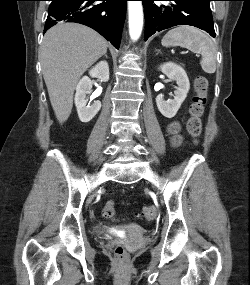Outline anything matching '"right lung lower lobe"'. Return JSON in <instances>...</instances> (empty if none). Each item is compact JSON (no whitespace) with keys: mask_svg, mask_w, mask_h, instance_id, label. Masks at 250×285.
I'll return each instance as SVG.
<instances>
[{"mask_svg":"<svg viewBox=\"0 0 250 285\" xmlns=\"http://www.w3.org/2000/svg\"><path fill=\"white\" fill-rule=\"evenodd\" d=\"M51 1L44 33L60 21L81 23L95 29L119 48L127 0Z\"/></svg>","mask_w":250,"mask_h":285,"instance_id":"98d812e1","label":"right lung lower lobe"}]
</instances>
